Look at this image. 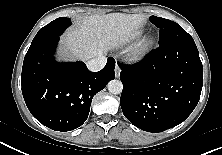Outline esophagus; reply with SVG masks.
<instances>
[{
  "instance_id": "34e87169",
  "label": "esophagus",
  "mask_w": 222,
  "mask_h": 155,
  "mask_svg": "<svg viewBox=\"0 0 222 155\" xmlns=\"http://www.w3.org/2000/svg\"><path fill=\"white\" fill-rule=\"evenodd\" d=\"M120 72H121V69L120 67L117 65L116 63V66H115V77L118 78L119 75H120Z\"/></svg>"
}]
</instances>
